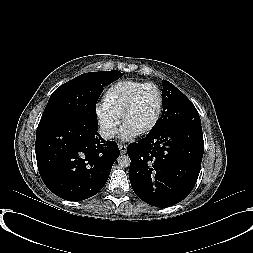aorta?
<instances>
[{"instance_id": "1", "label": "aorta", "mask_w": 253, "mask_h": 253, "mask_svg": "<svg viewBox=\"0 0 253 253\" xmlns=\"http://www.w3.org/2000/svg\"><path fill=\"white\" fill-rule=\"evenodd\" d=\"M118 165L122 168L130 166L131 159L128 155H121L117 158Z\"/></svg>"}]
</instances>
